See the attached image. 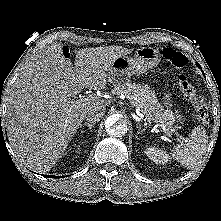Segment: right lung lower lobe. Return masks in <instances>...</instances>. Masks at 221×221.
I'll list each match as a JSON object with an SVG mask.
<instances>
[{
    "mask_svg": "<svg viewBox=\"0 0 221 221\" xmlns=\"http://www.w3.org/2000/svg\"><path fill=\"white\" fill-rule=\"evenodd\" d=\"M0 127H1V124H0ZM46 177H51V178H60V177H63V176H47L45 175Z\"/></svg>",
    "mask_w": 221,
    "mask_h": 221,
    "instance_id": "98d812e1",
    "label": "right lung lower lobe"
}]
</instances>
